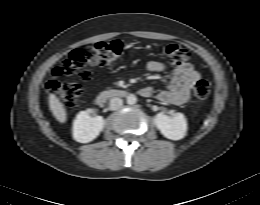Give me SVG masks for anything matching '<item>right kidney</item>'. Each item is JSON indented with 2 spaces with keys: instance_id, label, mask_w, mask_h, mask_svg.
I'll use <instances>...</instances> for the list:
<instances>
[{
  "instance_id": "obj_1",
  "label": "right kidney",
  "mask_w": 260,
  "mask_h": 205,
  "mask_svg": "<svg viewBox=\"0 0 260 205\" xmlns=\"http://www.w3.org/2000/svg\"><path fill=\"white\" fill-rule=\"evenodd\" d=\"M105 120L102 116L91 117L90 111H81L73 123V138L80 143L94 140L103 130Z\"/></svg>"
}]
</instances>
